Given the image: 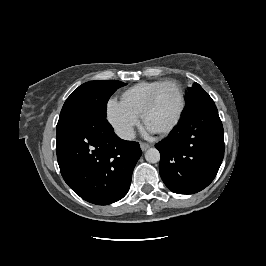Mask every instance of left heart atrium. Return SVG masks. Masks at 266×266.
<instances>
[{
    "label": "left heart atrium",
    "mask_w": 266,
    "mask_h": 266,
    "mask_svg": "<svg viewBox=\"0 0 266 266\" xmlns=\"http://www.w3.org/2000/svg\"><path fill=\"white\" fill-rule=\"evenodd\" d=\"M146 125H147L146 128H147V130H148L149 132H151V133L156 132V130L153 129L151 126H149L148 124H146Z\"/></svg>",
    "instance_id": "obj_1"
}]
</instances>
